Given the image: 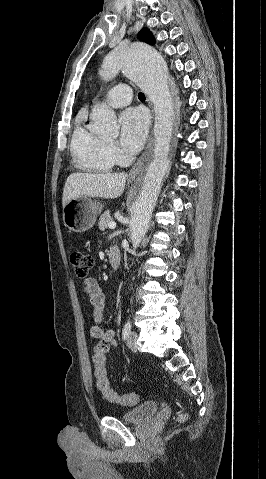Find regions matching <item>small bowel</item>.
Returning a JSON list of instances; mask_svg holds the SVG:
<instances>
[{
	"label": "small bowel",
	"instance_id": "1",
	"mask_svg": "<svg viewBox=\"0 0 266 479\" xmlns=\"http://www.w3.org/2000/svg\"><path fill=\"white\" fill-rule=\"evenodd\" d=\"M83 291L92 305L91 320L94 324L90 329L91 336L107 342L110 346H116L114 331L100 326L104 317L105 296L97 281L92 277L86 278L83 281Z\"/></svg>",
	"mask_w": 266,
	"mask_h": 479
}]
</instances>
